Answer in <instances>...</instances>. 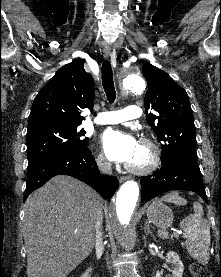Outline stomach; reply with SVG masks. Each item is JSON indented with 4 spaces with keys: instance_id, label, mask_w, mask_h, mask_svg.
<instances>
[{
    "instance_id": "1",
    "label": "stomach",
    "mask_w": 221,
    "mask_h": 277,
    "mask_svg": "<svg viewBox=\"0 0 221 277\" xmlns=\"http://www.w3.org/2000/svg\"><path fill=\"white\" fill-rule=\"evenodd\" d=\"M146 213L148 220L160 228L166 229L172 225L174 219L172 210L158 199L151 203Z\"/></svg>"
}]
</instances>
